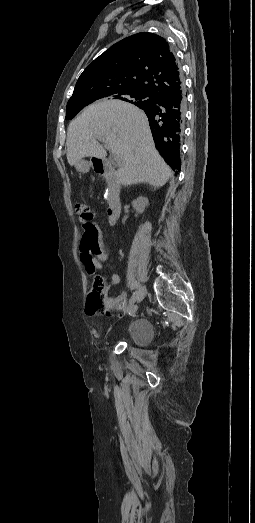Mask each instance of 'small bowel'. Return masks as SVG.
<instances>
[{
  "label": "small bowel",
  "mask_w": 255,
  "mask_h": 523,
  "mask_svg": "<svg viewBox=\"0 0 255 523\" xmlns=\"http://www.w3.org/2000/svg\"><path fill=\"white\" fill-rule=\"evenodd\" d=\"M92 220L82 224L83 235L80 243V259L88 274H94L97 270L103 268V263L108 260V254L104 248L102 232L95 222L96 214H92ZM112 284L120 282V276L117 273L110 275ZM126 295L121 294L118 300L121 304L125 302Z\"/></svg>",
  "instance_id": "obj_1"
}]
</instances>
